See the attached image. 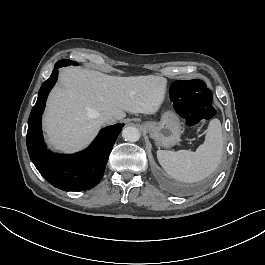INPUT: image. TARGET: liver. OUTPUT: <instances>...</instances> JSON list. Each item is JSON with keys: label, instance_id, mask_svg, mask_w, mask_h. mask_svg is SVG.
Listing matches in <instances>:
<instances>
[{"label": "liver", "instance_id": "liver-1", "mask_svg": "<svg viewBox=\"0 0 265 265\" xmlns=\"http://www.w3.org/2000/svg\"><path fill=\"white\" fill-rule=\"evenodd\" d=\"M167 79L161 76H110L81 67L63 68L47 100L43 118L48 142L71 153L86 147L98 133V118L115 120L126 112L154 114L164 101Z\"/></svg>", "mask_w": 265, "mask_h": 265}]
</instances>
